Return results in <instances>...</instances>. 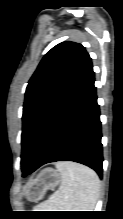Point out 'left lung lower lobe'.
Wrapping results in <instances>:
<instances>
[{"label":"left lung lower lobe","mask_w":123,"mask_h":219,"mask_svg":"<svg viewBox=\"0 0 123 219\" xmlns=\"http://www.w3.org/2000/svg\"><path fill=\"white\" fill-rule=\"evenodd\" d=\"M94 81L91 68L54 112L22 168L23 176L43 164L67 160L84 164L102 177L101 122Z\"/></svg>","instance_id":"0a47b994"}]
</instances>
